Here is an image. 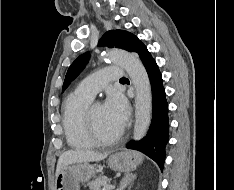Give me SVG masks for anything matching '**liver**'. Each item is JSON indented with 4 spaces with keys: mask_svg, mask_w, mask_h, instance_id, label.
<instances>
[{
    "mask_svg": "<svg viewBox=\"0 0 234 190\" xmlns=\"http://www.w3.org/2000/svg\"><path fill=\"white\" fill-rule=\"evenodd\" d=\"M108 153H98L90 150H70L64 152L58 159L56 176L61 169L69 164L101 161L107 157Z\"/></svg>",
    "mask_w": 234,
    "mask_h": 190,
    "instance_id": "1",
    "label": "liver"
}]
</instances>
